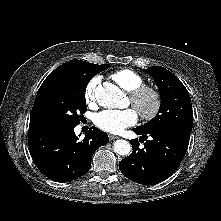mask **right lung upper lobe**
I'll list each match as a JSON object with an SVG mask.
<instances>
[{"mask_svg": "<svg viewBox=\"0 0 221 221\" xmlns=\"http://www.w3.org/2000/svg\"><path fill=\"white\" fill-rule=\"evenodd\" d=\"M93 65H95V64L81 61V60L68 61V62L62 64L61 66H59L58 68H56L53 72H51L47 76V78L44 80V82L41 85L39 90H41L47 83H49L50 81H52L60 76H64V75H68V74L85 73L88 70V68H90Z\"/></svg>", "mask_w": 221, "mask_h": 221, "instance_id": "obj_1", "label": "right lung upper lobe"}]
</instances>
